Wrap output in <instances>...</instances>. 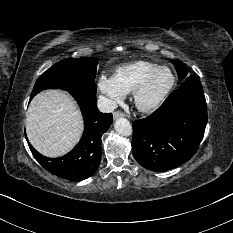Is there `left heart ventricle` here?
<instances>
[{"label":"left heart ventricle","mask_w":233,"mask_h":233,"mask_svg":"<svg viewBox=\"0 0 233 233\" xmlns=\"http://www.w3.org/2000/svg\"><path fill=\"white\" fill-rule=\"evenodd\" d=\"M170 81V74L164 70L159 72L152 80L147 91L144 94L143 100L145 102L153 101L167 86Z\"/></svg>","instance_id":"b2bd125f"}]
</instances>
